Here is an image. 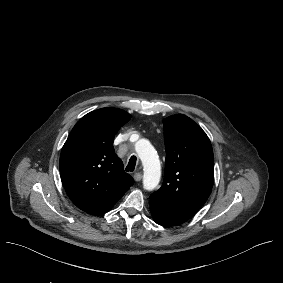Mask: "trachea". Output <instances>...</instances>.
Returning a JSON list of instances; mask_svg holds the SVG:
<instances>
[{"label": "trachea", "instance_id": "3493384b", "mask_svg": "<svg viewBox=\"0 0 283 283\" xmlns=\"http://www.w3.org/2000/svg\"><path fill=\"white\" fill-rule=\"evenodd\" d=\"M136 162H137V158L134 155L131 156L128 165L126 167V171L133 172L135 170Z\"/></svg>", "mask_w": 283, "mask_h": 283}]
</instances>
